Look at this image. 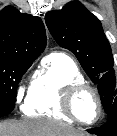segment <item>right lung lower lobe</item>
<instances>
[{
    "label": "right lung lower lobe",
    "instance_id": "right-lung-lower-lobe-1",
    "mask_svg": "<svg viewBox=\"0 0 117 136\" xmlns=\"http://www.w3.org/2000/svg\"><path fill=\"white\" fill-rule=\"evenodd\" d=\"M14 107L15 105L0 103V117L9 114L14 109Z\"/></svg>",
    "mask_w": 117,
    "mask_h": 136
}]
</instances>
